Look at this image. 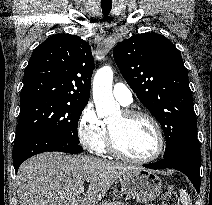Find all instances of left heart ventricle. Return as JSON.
I'll return each mask as SVG.
<instances>
[{"instance_id": "left-heart-ventricle-1", "label": "left heart ventricle", "mask_w": 212, "mask_h": 205, "mask_svg": "<svg viewBox=\"0 0 212 205\" xmlns=\"http://www.w3.org/2000/svg\"><path fill=\"white\" fill-rule=\"evenodd\" d=\"M119 148L131 157H145L153 153L156 136L150 122L142 117L125 118L118 114L109 121Z\"/></svg>"}]
</instances>
